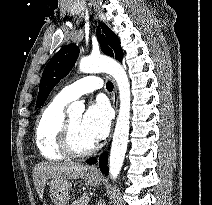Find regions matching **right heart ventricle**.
I'll return each mask as SVG.
<instances>
[{
	"label": "right heart ventricle",
	"mask_w": 212,
	"mask_h": 205,
	"mask_svg": "<svg viewBox=\"0 0 212 205\" xmlns=\"http://www.w3.org/2000/svg\"><path fill=\"white\" fill-rule=\"evenodd\" d=\"M68 102L54 97L41 111L35 127V143L41 155L50 161L64 160L67 155L59 147V133Z\"/></svg>",
	"instance_id": "obj_1"
}]
</instances>
